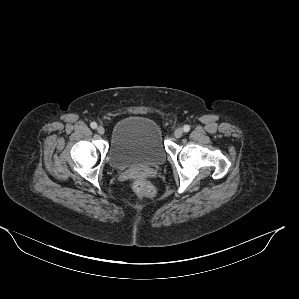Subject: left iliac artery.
Segmentation results:
<instances>
[{
    "label": "left iliac artery",
    "instance_id": "obj_1",
    "mask_svg": "<svg viewBox=\"0 0 299 299\" xmlns=\"http://www.w3.org/2000/svg\"><path fill=\"white\" fill-rule=\"evenodd\" d=\"M184 132H188L190 130V126L189 125H185L183 127Z\"/></svg>",
    "mask_w": 299,
    "mask_h": 299
}]
</instances>
